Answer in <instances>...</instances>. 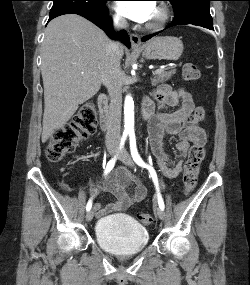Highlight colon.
I'll list each match as a JSON object with an SVG mask.
<instances>
[{
    "label": "colon",
    "mask_w": 250,
    "mask_h": 285,
    "mask_svg": "<svg viewBox=\"0 0 250 285\" xmlns=\"http://www.w3.org/2000/svg\"><path fill=\"white\" fill-rule=\"evenodd\" d=\"M182 75L187 81H195L200 78V71L195 64L186 63L182 69ZM96 129V112L94 105L90 102L83 104L72 120L61 128L57 129L46 148V155L51 161H59L86 140ZM205 157V147L202 144H194L189 151L188 158L184 165L182 178L185 193L191 192L198 180L200 165ZM139 220L144 225H150L153 217L150 214L142 213Z\"/></svg>",
    "instance_id": "1"
}]
</instances>
